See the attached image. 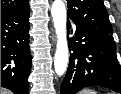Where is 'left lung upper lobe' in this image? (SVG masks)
<instances>
[{
  "label": "left lung upper lobe",
  "mask_w": 121,
  "mask_h": 94,
  "mask_svg": "<svg viewBox=\"0 0 121 94\" xmlns=\"http://www.w3.org/2000/svg\"><path fill=\"white\" fill-rule=\"evenodd\" d=\"M66 1L68 6L67 16L75 24L85 26L105 34H113L103 0Z\"/></svg>",
  "instance_id": "obj_1"
}]
</instances>
